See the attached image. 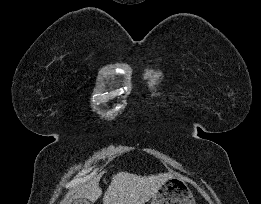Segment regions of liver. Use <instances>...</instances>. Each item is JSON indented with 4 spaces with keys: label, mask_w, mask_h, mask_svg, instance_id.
Returning <instances> with one entry per match:
<instances>
[{
    "label": "liver",
    "mask_w": 261,
    "mask_h": 204,
    "mask_svg": "<svg viewBox=\"0 0 261 204\" xmlns=\"http://www.w3.org/2000/svg\"><path fill=\"white\" fill-rule=\"evenodd\" d=\"M172 175V172L150 176L118 172L112 176L103 197V204H145ZM101 177L102 174H99L90 182L80 186L66 204H71L75 199L95 202L102 194L99 187Z\"/></svg>",
    "instance_id": "obj_1"
}]
</instances>
